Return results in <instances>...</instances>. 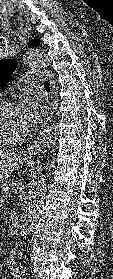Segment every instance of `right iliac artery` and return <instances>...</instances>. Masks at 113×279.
I'll list each match as a JSON object with an SVG mask.
<instances>
[{
    "label": "right iliac artery",
    "mask_w": 113,
    "mask_h": 279,
    "mask_svg": "<svg viewBox=\"0 0 113 279\" xmlns=\"http://www.w3.org/2000/svg\"><path fill=\"white\" fill-rule=\"evenodd\" d=\"M18 272H19L18 269H14V270H13V275H15V274L18 273Z\"/></svg>",
    "instance_id": "1"
}]
</instances>
